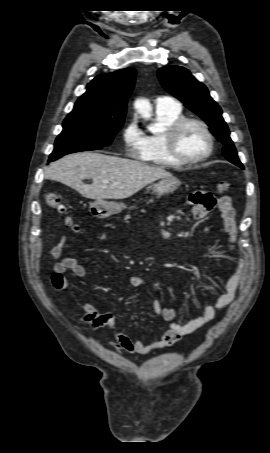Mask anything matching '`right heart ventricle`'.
Returning a JSON list of instances; mask_svg holds the SVG:
<instances>
[{"label": "right heart ventricle", "mask_w": 270, "mask_h": 453, "mask_svg": "<svg viewBox=\"0 0 270 453\" xmlns=\"http://www.w3.org/2000/svg\"><path fill=\"white\" fill-rule=\"evenodd\" d=\"M180 118H182L181 107L156 112L155 124L159 131L144 135L143 146L138 154L141 161L162 167H180L182 165L171 158L164 143L166 131Z\"/></svg>", "instance_id": "e07e8e85"}]
</instances>
